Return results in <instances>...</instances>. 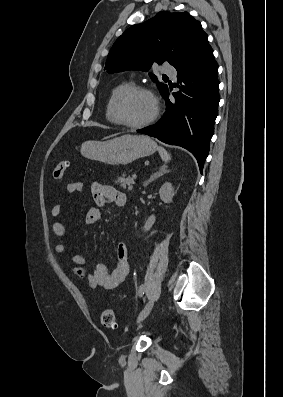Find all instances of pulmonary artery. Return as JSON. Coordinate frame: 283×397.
I'll return each mask as SVG.
<instances>
[{
	"mask_svg": "<svg viewBox=\"0 0 283 397\" xmlns=\"http://www.w3.org/2000/svg\"><path fill=\"white\" fill-rule=\"evenodd\" d=\"M165 73L174 77L176 75V70L173 67H166Z\"/></svg>",
	"mask_w": 283,
	"mask_h": 397,
	"instance_id": "e3ab8cb5",
	"label": "pulmonary artery"
}]
</instances>
